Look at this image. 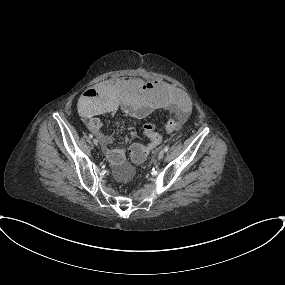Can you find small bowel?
I'll use <instances>...</instances> for the list:
<instances>
[{
    "label": "small bowel",
    "instance_id": "obj_1",
    "mask_svg": "<svg viewBox=\"0 0 285 285\" xmlns=\"http://www.w3.org/2000/svg\"><path fill=\"white\" fill-rule=\"evenodd\" d=\"M157 108L167 109L171 118L183 123L191 114L193 104L183 93L174 90L162 80L146 82L140 78L108 80L87 90L78 100V110L86 119L87 128L96 136L114 167L123 163L125 148L124 145L109 147L111 138L102 132L99 115L120 109L127 118L140 120L148 117ZM135 138L136 129L131 126L126 140Z\"/></svg>",
    "mask_w": 285,
    "mask_h": 285
}]
</instances>
